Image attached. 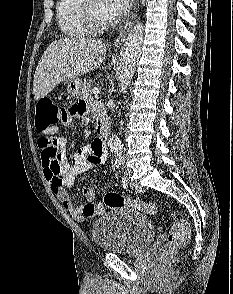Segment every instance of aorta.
Wrapping results in <instances>:
<instances>
[{"label":"aorta","mask_w":233,"mask_h":294,"mask_svg":"<svg viewBox=\"0 0 233 294\" xmlns=\"http://www.w3.org/2000/svg\"><path fill=\"white\" fill-rule=\"evenodd\" d=\"M143 24L137 22L129 31L126 38L121 65L118 73L120 92H123L133 78L135 67L141 52L143 42ZM108 146L115 155V162L123 164L125 159L123 156V145L118 136L112 135L108 141Z\"/></svg>","instance_id":"1"}]
</instances>
